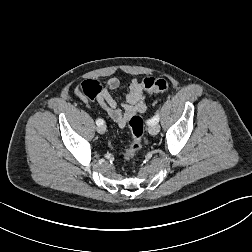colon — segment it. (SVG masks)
<instances>
[{
    "instance_id": "1",
    "label": "colon",
    "mask_w": 252,
    "mask_h": 252,
    "mask_svg": "<svg viewBox=\"0 0 252 252\" xmlns=\"http://www.w3.org/2000/svg\"><path fill=\"white\" fill-rule=\"evenodd\" d=\"M141 85L147 91L164 92L168 89V82L163 78L146 77L141 81ZM80 89L84 97L93 100L99 95L102 87L97 80H85ZM128 126L132 133V141L123 151V157L126 161L132 160L141 149L144 134L143 121L138 115L129 119Z\"/></svg>"
}]
</instances>
